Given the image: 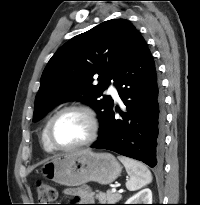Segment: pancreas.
Masks as SVG:
<instances>
[{
	"label": "pancreas",
	"instance_id": "pancreas-1",
	"mask_svg": "<svg viewBox=\"0 0 200 205\" xmlns=\"http://www.w3.org/2000/svg\"><path fill=\"white\" fill-rule=\"evenodd\" d=\"M96 198L102 204H115L122 198V195L119 193H113L112 191L108 190L106 193L98 192L96 194Z\"/></svg>",
	"mask_w": 200,
	"mask_h": 205
}]
</instances>
